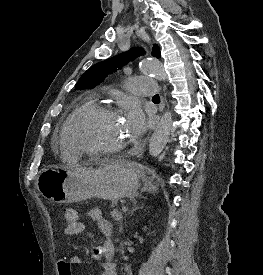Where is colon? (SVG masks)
Returning <instances> with one entry per match:
<instances>
[{
    "label": "colon",
    "mask_w": 263,
    "mask_h": 275,
    "mask_svg": "<svg viewBox=\"0 0 263 275\" xmlns=\"http://www.w3.org/2000/svg\"><path fill=\"white\" fill-rule=\"evenodd\" d=\"M63 216L66 222L74 223L78 220L77 211L73 208L64 209ZM59 265V274L60 275H68L70 272V264L65 260H60L58 262Z\"/></svg>",
    "instance_id": "obj_1"
}]
</instances>
